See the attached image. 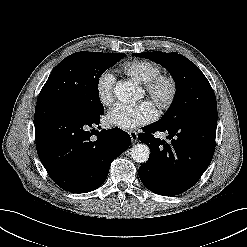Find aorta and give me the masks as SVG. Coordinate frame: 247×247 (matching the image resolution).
<instances>
[{"mask_svg":"<svg viewBox=\"0 0 247 247\" xmlns=\"http://www.w3.org/2000/svg\"><path fill=\"white\" fill-rule=\"evenodd\" d=\"M114 92L117 99L125 104L135 102L139 97L136 86L128 82L117 83ZM130 154L135 162L145 163L149 159L150 150L147 145L138 143L131 148Z\"/></svg>","mask_w":247,"mask_h":247,"instance_id":"aorta-1","label":"aorta"}]
</instances>
